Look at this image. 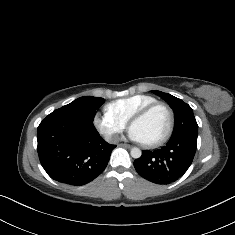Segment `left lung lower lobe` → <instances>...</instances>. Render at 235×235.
<instances>
[{
  "instance_id": "obj_1",
  "label": "left lung lower lobe",
  "mask_w": 235,
  "mask_h": 235,
  "mask_svg": "<svg viewBox=\"0 0 235 235\" xmlns=\"http://www.w3.org/2000/svg\"><path fill=\"white\" fill-rule=\"evenodd\" d=\"M196 148V137H171L161 149L143 151L141 157L134 161V167L140 176L150 182L169 184L190 167Z\"/></svg>"
}]
</instances>
